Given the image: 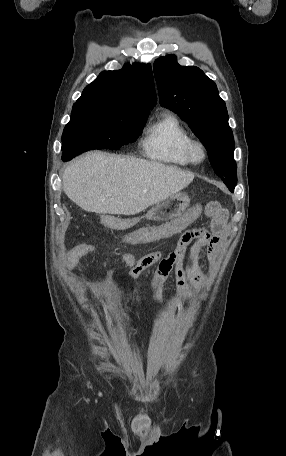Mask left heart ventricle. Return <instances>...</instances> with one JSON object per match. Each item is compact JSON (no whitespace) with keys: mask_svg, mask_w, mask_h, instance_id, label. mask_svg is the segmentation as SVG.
Returning a JSON list of instances; mask_svg holds the SVG:
<instances>
[{"mask_svg":"<svg viewBox=\"0 0 286 456\" xmlns=\"http://www.w3.org/2000/svg\"><path fill=\"white\" fill-rule=\"evenodd\" d=\"M195 157H196L197 159H200V158H201V152H200L199 150H197V151L195 152Z\"/></svg>","mask_w":286,"mask_h":456,"instance_id":"b2bd125f","label":"left heart ventricle"}]
</instances>
